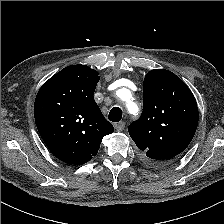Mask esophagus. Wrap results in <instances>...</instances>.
Here are the masks:
<instances>
[{
  "label": "esophagus",
  "mask_w": 224,
  "mask_h": 224,
  "mask_svg": "<svg viewBox=\"0 0 224 224\" xmlns=\"http://www.w3.org/2000/svg\"><path fill=\"white\" fill-rule=\"evenodd\" d=\"M125 128V122L121 121L117 124H115V129L118 131V132H121L123 131Z\"/></svg>",
  "instance_id": "esophagus-1"
}]
</instances>
